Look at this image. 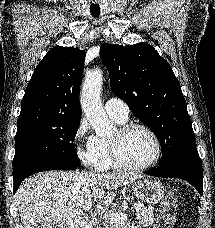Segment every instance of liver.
Listing matches in <instances>:
<instances>
[{
	"instance_id": "1",
	"label": "liver",
	"mask_w": 215,
	"mask_h": 228,
	"mask_svg": "<svg viewBox=\"0 0 215 228\" xmlns=\"http://www.w3.org/2000/svg\"><path fill=\"white\" fill-rule=\"evenodd\" d=\"M144 178L142 174H89V172H39L26 178L15 198L24 228H93L84 204L104 212L116 190Z\"/></svg>"
}]
</instances>
